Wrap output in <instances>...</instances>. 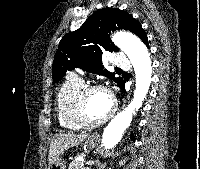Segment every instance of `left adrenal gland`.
Returning a JSON list of instances; mask_svg holds the SVG:
<instances>
[{
	"mask_svg": "<svg viewBox=\"0 0 200 169\" xmlns=\"http://www.w3.org/2000/svg\"><path fill=\"white\" fill-rule=\"evenodd\" d=\"M105 165H106V163H100V162H98V167H99V169H104V167H105Z\"/></svg>",
	"mask_w": 200,
	"mask_h": 169,
	"instance_id": "left-adrenal-gland-1",
	"label": "left adrenal gland"
}]
</instances>
